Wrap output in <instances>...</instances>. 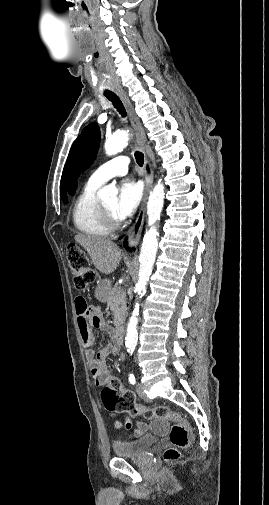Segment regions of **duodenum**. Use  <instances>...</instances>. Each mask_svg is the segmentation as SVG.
<instances>
[{
  "label": "duodenum",
  "mask_w": 269,
  "mask_h": 505,
  "mask_svg": "<svg viewBox=\"0 0 269 505\" xmlns=\"http://www.w3.org/2000/svg\"><path fill=\"white\" fill-rule=\"evenodd\" d=\"M114 337H115L117 344L121 345L123 343V337H124L123 324L119 323L116 325V327L114 329Z\"/></svg>",
  "instance_id": "1"
}]
</instances>
